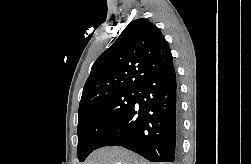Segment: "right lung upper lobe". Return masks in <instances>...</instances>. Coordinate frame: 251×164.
Masks as SVG:
<instances>
[{
	"label": "right lung upper lobe",
	"mask_w": 251,
	"mask_h": 164,
	"mask_svg": "<svg viewBox=\"0 0 251 164\" xmlns=\"http://www.w3.org/2000/svg\"><path fill=\"white\" fill-rule=\"evenodd\" d=\"M170 64L171 51L161 31L147 19L134 20L93 64L79 108L105 94L137 90Z\"/></svg>",
	"instance_id": "cb5924a9"
}]
</instances>
